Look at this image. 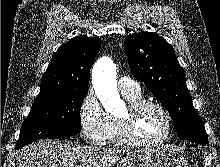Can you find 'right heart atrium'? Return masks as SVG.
I'll list each match as a JSON object with an SVG mask.
<instances>
[{"mask_svg": "<svg viewBox=\"0 0 220 167\" xmlns=\"http://www.w3.org/2000/svg\"><path fill=\"white\" fill-rule=\"evenodd\" d=\"M79 122L86 142L100 144L105 141L110 124L109 115L92 89H89L81 100Z\"/></svg>", "mask_w": 220, "mask_h": 167, "instance_id": "1", "label": "right heart atrium"}]
</instances>
